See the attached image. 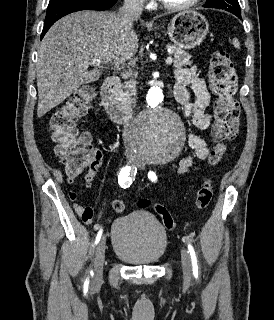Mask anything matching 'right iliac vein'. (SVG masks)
<instances>
[{
  "label": "right iliac vein",
  "instance_id": "63e3f726",
  "mask_svg": "<svg viewBox=\"0 0 274 320\" xmlns=\"http://www.w3.org/2000/svg\"><path fill=\"white\" fill-rule=\"evenodd\" d=\"M129 163H135L133 159L129 160ZM105 248H106V239L102 237L99 241L94 255V268H93V279L92 286L97 288L101 285L102 276H103V264L105 259Z\"/></svg>",
  "mask_w": 274,
  "mask_h": 320
}]
</instances>
